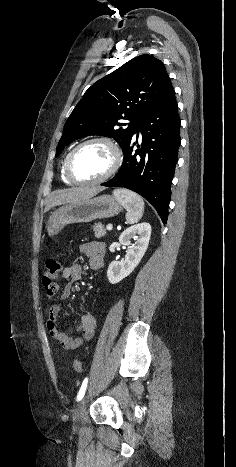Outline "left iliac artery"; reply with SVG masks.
Masks as SVG:
<instances>
[{"instance_id":"obj_1","label":"left iliac artery","mask_w":236,"mask_h":467,"mask_svg":"<svg viewBox=\"0 0 236 467\" xmlns=\"http://www.w3.org/2000/svg\"><path fill=\"white\" fill-rule=\"evenodd\" d=\"M87 383H88V378H85L82 385H81V388H80V390L78 392L77 402L80 401L84 397V394H85V391H86V388H87Z\"/></svg>"}]
</instances>
